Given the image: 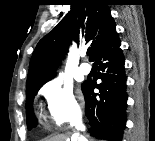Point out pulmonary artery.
<instances>
[{"label": "pulmonary artery", "instance_id": "obj_1", "mask_svg": "<svg viewBox=\"0 0 155 141\" xmlns=\"http://www.w3.org/2000/svg\"><path fill=\"white\" fill-rule=\"evenodd\" d=\"M83 56H84V54H83ZM80 71L82 74L87 75L91 71V66L88 63H82L80 65Z\"/></svg>", "mask_w": 155, "mask_h": 141}]
</instances>
